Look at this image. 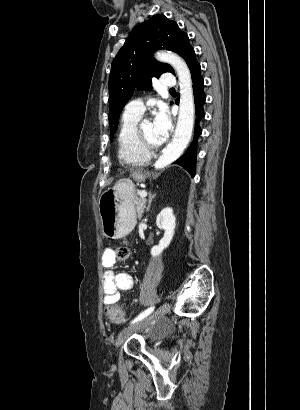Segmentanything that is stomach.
I'll return each mask as SVG.
<instances>
[{
	"mask_svg": "<svg viewBox=\"0 0 300 410\" xmlns=\"http://www.w3.org/2000/svg\"><path fill=\"white\" fill-rule=\"evenodd\" d=\"M132 178L144 179L140 172ZM135 189L131 180H120L113 188L103 192L98 209L102 233L106 238L118 239L129 234L136 224Z\"/></svg>",
	"mask_w": 300,
	"mask_h": 410,
	"instance_id": "0dacf381",
	"label": "stomach"
}]
</instances>
